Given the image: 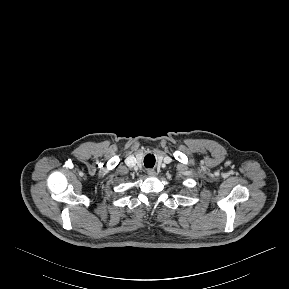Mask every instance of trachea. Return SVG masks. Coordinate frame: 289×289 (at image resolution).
Returning <instances> with one entry per match:
<instances>
[{
  "label": "trachea",
  "instance_id": "3493384b",
  "mask_svg": "<svg viewBox=\"0 0 289 289\" xmlns=\"http://www.w3.org/2000/svg\"><path fill=\"white\" fill-rule=\"evenodd\" d=\"M144 165L146 168H152L155 165V156L153 154H147L144 158Z\"/></svg>",
  "mask_w": 289,
  "mask_h": 289
}]
</instances>
